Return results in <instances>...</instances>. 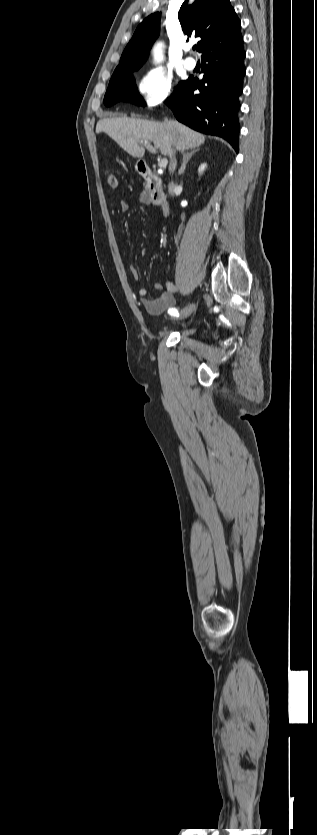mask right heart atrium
Masks as SVG:
<instances>
[{
  "label": "right heart atrium",
  "instance_id": "d8ad5b80",
  "mask_svg": "<svg viewBox=\"0 0 317 835\" xmlns=\"http://www.w3.org/2000/svg\"><path fill=\"white\" fill-rule=\"evenodd\" d=\"M137 89L144 104L155 107L164 103L172 94L173 78L161 68L145 72L137 81Z\"/></svg>",
  "mask_w": 317,
  "mask_h": 835
}]
</instances>
